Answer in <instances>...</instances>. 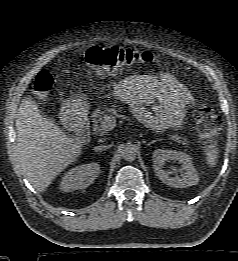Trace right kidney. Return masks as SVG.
<instances>
[{"label": "right kidney", "instance_id": "1", "mask_svg": "<svg viewBox=\"0 0 238 261\" xmlns=\"http://www.w3.org/2000/svg\"><path fill=\"white\" fill-rule=\"evenodd\" d=\"M100 173L98 163H89L71 168L62 178L60 189L64 192L81 190L91 185Z\"/></svg>", "mask_w": 238, "mask_h": 261}]
</instances>
